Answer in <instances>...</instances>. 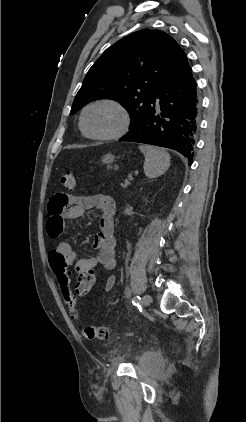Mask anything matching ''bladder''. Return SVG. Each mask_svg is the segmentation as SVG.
Instances as JSON below:
<instances>
[{"mask_svg":"<svg viewBox=\"0 0 246 422\" xmlns=\"http://www.w3.org/2000/svg\"><path fill=\"white\" fill-rule=\"evenodd\" d=\"M144 360H146L150 365L154 367L161 366L163 364V357L158 352H150L144 355Z\"/></svg>","mask_w":246,"mask_h":422,"instance_id":"bladder-1","label":"bladder"}]
</instances>
